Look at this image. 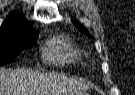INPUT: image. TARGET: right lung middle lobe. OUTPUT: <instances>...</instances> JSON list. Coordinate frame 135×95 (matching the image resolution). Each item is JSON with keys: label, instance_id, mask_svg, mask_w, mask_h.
Segmentation results:
<instances>
[{"label": "right lung middle lobe", "instance_id": "right-lung-middle-lobe-1", "mask_svg": "<svg viewBox=\"0 0 135 95\" xmlns=\"http://www.w3.org/2000/svg\"><path fill=\"white\" fill-rule=\"evenodd\" d=\"M38 33L15 32L0 36V65L10 63L23 49L35 43Z\"/></svg>", "mask_w": 135, "mask_h": 95}]
</instances>
